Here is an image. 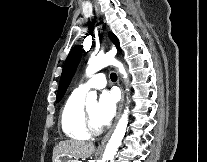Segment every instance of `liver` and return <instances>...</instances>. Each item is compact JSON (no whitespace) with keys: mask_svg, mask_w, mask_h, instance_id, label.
<instances>
[{"mask_svg":"<svg viewBox=\"0 0 207 162\" xmlns=\"http://www.w3.org/2000/svg\"><path fill=\"white\" fill-rule=\"evenodd\" d=\"M95 151V146L92 143H87L77 140H64L55 145L53 149V159L62 156L69 158L86 159L90 157Z\"/></svg>","mask_w":207,"mask_h":162,"instance_id":"6515ba94","label":"liver"}]
</instances>
